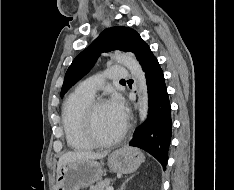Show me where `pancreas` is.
Returning <instances> with one entry per match:
<instances>
[{
  "label": "pancreas",
  "mask_w": 234,
  "mask_h": 190,
  "mask_svg": "<svg viewBox=\"0 0 234 190\" xmlns=\"http://www.w3.org/2000/svg\"><path fill=\"white\" fill-rule=\"evenodd\" d=\"M109 185H110V180L105 179V180L99 181L97 184L93 186H90L89 190H105V188L109 187Z\"/></svg>",
  "instance_id": "obj_1"
}]
</instances>
